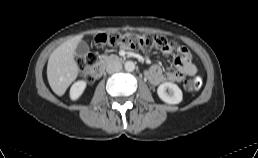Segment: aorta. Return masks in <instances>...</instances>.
Returning a JSON list of instances; mask_svg holds the SVG:
<instances>
[{"mask_svg":"<svg viewBox=\"0 0 258 158\" xmlns=\"http://www.w3.org/2000/svg\"><path fill=\"white\" fill-rule=\"evenodd\" d=\"M126 71H133L135 69V63L133 61H127L124 65Z\"/></svg>","mask_w":258,"mask_h":158,"instance_id":"1","label":"aorta"}]
</instances>
